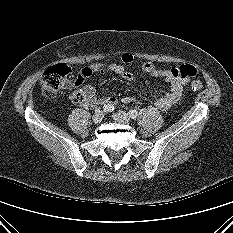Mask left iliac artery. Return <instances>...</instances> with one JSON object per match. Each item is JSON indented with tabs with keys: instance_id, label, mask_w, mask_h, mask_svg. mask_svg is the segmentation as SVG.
I'll use <instances>...</instances> for the list:
<instances>
[{
	"instance_id": "1",
	"label": "left iliac artery",
	"mask_w": 233,
	"mask_h": 233,
	"mask_svg": "<svg viewBox=\"0 0 233 233\" xmlns=\"http://www.w3.org/2000/svg\"><path fill=\"white\" fill-rule=\"evenodd\" d=\"M128 114L131 119H136L138 116V111L135 109H132L128 112Z\"/></svg>"
}]
</instances>
